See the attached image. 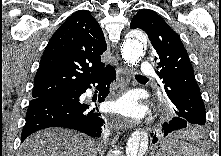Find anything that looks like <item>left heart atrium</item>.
I'll list each match as a JSON object with an SVG mask.
<instances>
[{"label":"left heart atrium","instance_id":"left-heart-atrium-1","mask_svg":"<svg viewBox=\"0 0 221 156\" xmlns=\"http://www.w3.org/2000/svg\"><path fill=\"white\" fill-rule=\"evenodd\" d=\"M109 109L121 116L128 118H140L144 114V108L139 105L133 94H126L109 104Z\"/></svg>","mask_w":221,"mask_h":156}]
</instances>
